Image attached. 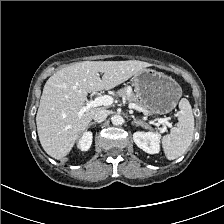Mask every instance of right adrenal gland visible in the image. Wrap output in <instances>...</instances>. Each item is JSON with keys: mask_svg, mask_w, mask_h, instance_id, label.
Returning <instances> with one entry per match:
<instances>
[{"mask_svg": "<svg viewBox=\"0 0 224 224\" xmlns=\"http://www.w3.org/2000/svg\"><path fill=\"white\" fill-rule=\"evenodd\" d=\"M93 125H96V122H91V123L89 124V126H93Z\"/></svg>", "mask_w": 224, "mask_h": 224, "instance_id": "1", "label": "right adrenal gland"}]
</instances>
